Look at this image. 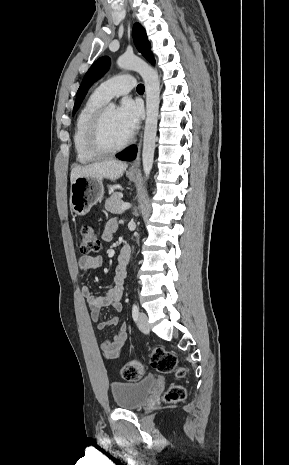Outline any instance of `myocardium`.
<instances>
[{"label":"myocardium","instance_id":"1","mask_svg":"<svg viewBox=\"0 0 289 465\" xmlns=\"http://www.w3.org/2000/svg\"><path fill=\"white\" fill-rule=\"evenodd\" d=\"M110 105H102L92 116L87 129V146L89 150L96 155H110L125 149L131 142V138H127L123 143L110 146L104 140V120Z\"/></svg>","mask_w":289,"mask_h":465}]
</instances>
